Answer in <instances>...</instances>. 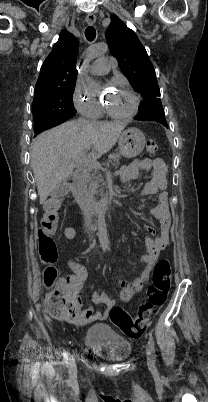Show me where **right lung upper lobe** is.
<instances>
[{"mask_svg": "<svg viewBox=\"0 0 208 402\" xmlns=\"http://www.w3.org/2000/svg\"><path fill=\"white\" fill-rule=\"evenodd\" d=\"M77 51V39L63 30L41 66L35 93L65 83L76 82Z\"/></svg>", "mask_w": 208, "mask_h": 402, "instance_id": "cb5924a9", "label": "right lung upper lobe"}]
</instances>
